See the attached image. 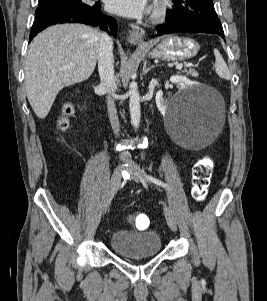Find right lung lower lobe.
<instances>
[{
    "mask_svg": "<svg viewBox=\"0 0 267 301\" xmlns=\"http://www.w3.org/2000/svg\"><path fill=\"white\" fill-rule=\"evenodd\" d=\"M65 22H77L92 26H103L105 24H109L110 28H116V19L103 15L101 13V5L99 3H95L87 8L62 9L37 16L31 29L30 39L50 25ZM101 28L103 30L107 29V27ZM109 34L113 36L116 35V33L112 32H109Z\"/></svg>",
    "mask_w": 267,
    "mask_h": 301,
    "instance_id": "98d812e1",
    "label": "right lung lower lobe"
}]
</instances>
